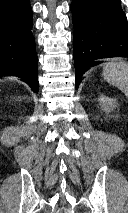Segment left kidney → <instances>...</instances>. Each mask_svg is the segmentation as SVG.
Masks as SVG:
<instances>
[{
	"label": "left kidney",
	"instance_id": "left-kidney-1",
	"mask_svg": "<svg viewBox=\"0 0 128 213\" xmlns=\"http://www.w3.org/2000/svg\"><path fill=\"white\" fill-rule=\"evenodd\" d=\"M100 109L106 113L113 111L117 107V102L109 97L100 96L99 99Z\"/></svg>",
	"mask_w": 128,
	"mask_h": 213
}]
</instances>
